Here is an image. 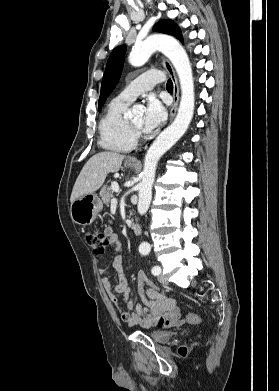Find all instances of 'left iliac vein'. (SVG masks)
<instances>
[{
    "label": "left iliac vein",
    "instance_id": "obj_1",
    "mask_svg": "<svg viewBox=\"0 0 279 391\" xmlns=\"http://www.w3.org/2000/svg\"><path fill=\"white\" fill-rule=\"evenodd\" d=\"M158 280H159V282H160L162 285H167V284H168L167 279H166L163 275H160V276L158 277Z\"/></svg>",
    "mask_w": 279,
    "mask_h": 391
}]
</instances>
